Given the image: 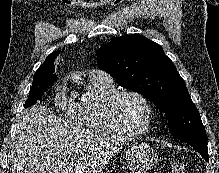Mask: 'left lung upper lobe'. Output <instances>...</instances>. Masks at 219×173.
I'll return each mask as SVG.
<instances>
[{
	"mask_svg": "<svg viewBox=\"0 0 219 173\" xmlns=\"http://www.w3.org/2000/svg\"><path fill=\"white\" fill-rule=\"evenodd\" d=\"M97 64L122 87L142 94L163 111L173 137L207 148L199 111L184 80L159 44L139 34L117 37L100 47Z\"/></svg>",
	"mask_w": 219,
	"mask_h": 173,
	"instance_id": "left-lung-upper-lobe-1",
	"label": "left lung upper lobe"
}]
</instances>
